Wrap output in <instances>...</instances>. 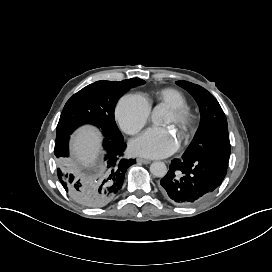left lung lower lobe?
<instances>
[{
  "label": "left lung lower lobe",
  "mask_w": 272,
  "mask_h": 272,
  "mask_svg": "<svg viewBox=\"0 0 272 272\" xmlns=\"http://www.w3.org/2000/svg\"><path fill=\"white\" fill-rule=\"evenodd\" d=\"M228 161L216 157L174 159L160 181V192L180 206H191L214 191L227 173ZM180 172L184 174L181 178Z\"/></svg>",
  "instance_id": "left-lung-lower-lobe-1"
}]
</instances>
